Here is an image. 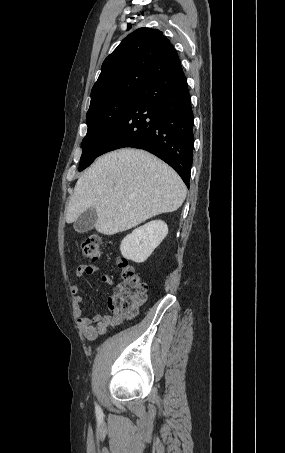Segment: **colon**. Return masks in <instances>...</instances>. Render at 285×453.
Here are the masks:
<instances>
[{
	"mask_svg": "<svg viewBox=\"0 0 285 453\" xmlns=\"http://www.w3.org/2000/svg\"><path fill=\"white\" fill-rule=\"evenodd\" d=\"M83 257L92 261L101 256V236L91 234L81 244ZM122 282L116 287L114 299L119 304V311L125 317H133L146 302L148 284L135 271L133 266L123 258L117 262Z\"/></svg>",
	"mask_w": 285,
	"mask_h": 453,
	"instance_id": "colon-1",
	"label": "colon"
}]
</instances>
